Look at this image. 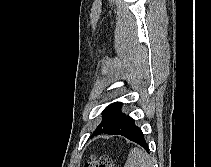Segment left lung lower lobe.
I'll return each mask as SVG.
<instances>
[{
  "label": "left lung lower lobe",
  "instance_id": "left-lung-lower-lobe-1",
  "mask_svg": "<svg viewBox=\"0 0 211 167\" xmlns=\"http://www.w3.org/2000/svg\"><path fill=\"white\" fill-rule=\"evenodd\" d=\"M101 133L109 135H122L139 144L145 150H148V144L144 139L141 129L135 125L134 119H132L130 116L124 115V113H121L111 123L97 127L91 137Z\"/></svg>",
  "mask_w": 211,
  "mask_h": 167
}]
</instances>
